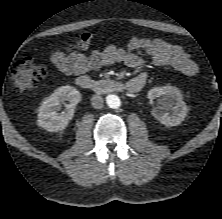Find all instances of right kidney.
<instances>
[{
  "mask_svg": "<svg viewBox=\"0 0 222 219\" xmlns=\"http://www.w3.org/2000/svg\"><path fill=\"white\" fill-rule=\"evenodd\" d=\"M69 101L65 110L58 112L61 102ZM81 101L80 92L72 86H61L47 97L39 107L38 125L49 132H58L66 128L72 120L75 107Z\"/></svg>",
  "mask_w": 222,
  "mask_h": 219,
  "instance_id": "ca27d5eb",
  "label": "right kidney"
}]
</instances>
